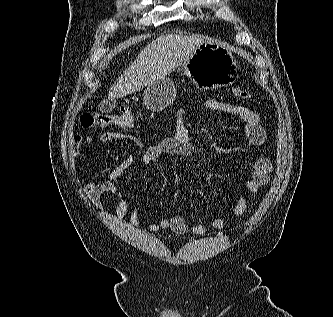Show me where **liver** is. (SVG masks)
Returning <instances> with one entry per match:
<instances>
[{
	"label": "liver",
	"mask_w": 333,
	"mask_h": 317,
	"mask_svg": "<svg viewBox=\"0 0 333 317\" xmlns=\"http://www.w3.org/2000/svg\"><path fill=\"white\" fill-rule=\"evenodd\" d=\"M210 39L202 35H161L148 44L108 93L117 99L166 77L187 61L199 45Z\"/></svg>",
	"instance_id": "6515ba94"
}]
</instances>
